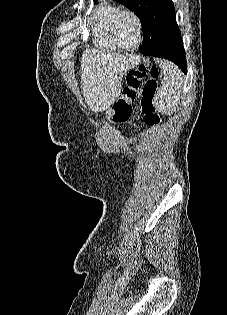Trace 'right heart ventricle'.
Masks as SVG:
<instances>
[{"mask_svg":"<svg viewBox=\"0 0 227 315\" xmlns=\"http://www.w3.org/2000/svg\"><path fill=\"white\" fill-rule=\"evenodd\" d=\"M120 10L121 8L111 0H100L93 9L90 21L93 27L94 42L98 47L105 50L118 49L112 39L111 26Z\"/></svg>","mask_w":227,"mask_h":315,"instance_id":"e07e8e85","label":"right heart ventricle"}]
</instances>
